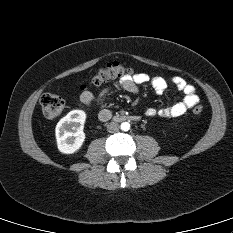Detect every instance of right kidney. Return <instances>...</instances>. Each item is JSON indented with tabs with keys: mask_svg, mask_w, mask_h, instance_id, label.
<instances>
[{
	"mask_svg": "<svg viewBox=\"0 0 233 233\" xmlns=\"http://www.w3.org/2000/svg\"><path fill=\"white\" fill-rule=\"evenodd\" d=\"M85 120L84 111L72 110L57 123L55 134L60 152L72 154L81 148L85 140Z\"/></svg>",
	"mask_w": 233,
	"mask_h": 233,
	"instance_id": "ca27d5eb",
	"label": "right kidney"
}]
</instances>
